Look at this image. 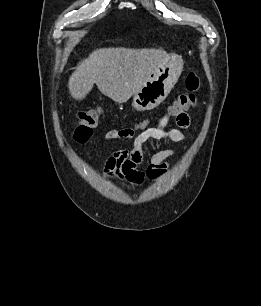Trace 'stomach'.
I'll use <instances>...</instances> for the list:
<instances>
[{
    "instance_id": "stomach-1",
    "label": "stomach",
    "mask_w": 261,
    "mask_h": 306,
    "mask_svg": "<svg viewBox=\"0 0 261 306\" xmlns=\"http://www.w3.org/2000/svg\"><path fill=\"white\" fill-rule=\"evenodd\" d=\"M183 65L182 58L175 54L163 59L151 72L140 90L133 95V108L145 111L157 107L178 81Z\"/></svg>"
}]
</instances>
